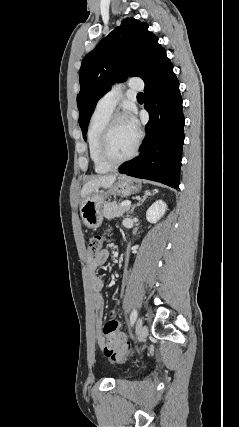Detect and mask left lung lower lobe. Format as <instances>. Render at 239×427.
<instances>
[{
    "instance_id": "obj_1",
    "label": "left lung lower lobe",
    "mask_w": 239,
    "mask_h": 427,
    "mask_svg": "<svg viewBox=\"0 0 239 427\" xmlns=\"http://www.w3.org/2000/svg\"><path fill=\"white\" fill-rule=\"evenodd\" d=\"M145 106L150 119L140 155L121 165L119 172L179 187L184 142V115L179 82L168 61L145 82Z\"/></svg>"
}]
</instances>
